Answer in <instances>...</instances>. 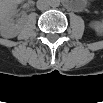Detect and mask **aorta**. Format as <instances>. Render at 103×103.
<instances>
[{"instance_id":"762f6f07","label":"aorta","mask_w":103,"mask_h":103,"mask_svg":"<svg viewBox=\"0 0 103 103\" xmlns=\"http://www.w3.org/2000/svg\"><path fill=\"white\" fill-rule=\"evenodd\" d=\"M49 4H50L51 6H53V7H55V6L58 5V1L52 0V1L49 2Z\"/></svg>"}]
</instances>
